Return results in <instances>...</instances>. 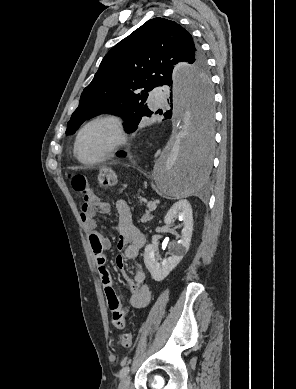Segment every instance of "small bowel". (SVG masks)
I'll use <instances>...</instances> for the list:
<instances>
[{
	"mask_svg": "<svg viewBox=\"0 0 296 389\" xmlns=\"http://www.w3.org/2000/svg\"><path fill=\"white\" fill-rule=\"evenodd\" d=\"M110 211V205L102 201L94 193L90 192L84 196L81 207V222L84 231L88 235L91 250L97 266V270L104 288L108 307L112 313V322L118 329H123L126 324L125 310L116 295L112 279L108 268L106 267L105 251L111 247L110 240L96 231V214H104ZM116 212L118 217L117 231L119 240L117 247L123 251V255L116 257V266L124 277L129 281L131 290L128 297L130 307L140 309L146 307L151 300V291L147 283L145 271L140 263H137L133 282L127 278L125 261H137L140 251L145 245L144 234L134 226L132 215L127 203L123 200L116 202ZM119 315V319L115 317Z\"/></svg>",
	"mask_w": 296,
	"mask_h": 389,
	"instance_id": "obj_1",
	"label": "small bowel"
}]
</instances>
